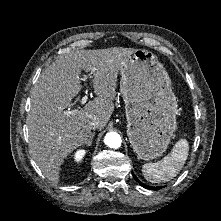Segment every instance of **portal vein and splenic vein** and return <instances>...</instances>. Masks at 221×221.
<instances>
[{
	"instance_id": "18ae733b",
	"label": "portal vein and splenic vein",
	"mask_w": 221,
	"mask_h": 221,
	"mask_svg": "<svg viewBox=\"0 0 221 221\" xmlns=\"http://www.w3.org/2000/svg\"><path fill=\"white\" fill-rule=\"evenodd\" d=\"M84 80H86V77L84 78ZM87 100H88V96L87 95L83 96L82 99H81V104L84 105L87 102ZM78 109L79 108L73 109V110H66V111H64V114L65 115L74 114L76 111H78Z\"/></svg>"
}]
</instances>
